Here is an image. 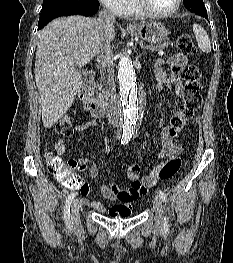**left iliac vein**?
Masks as SVG:
<instances>
[{
    "instance_id": "obj_1",
    "label": "left iliac vein",
    "mask_w": 233,
    "mask_h": 263,
    "mask_svg": "<svg viewBox=\"0 0 233 263\" xmlns=\"http://www.w3.org/2000/svg\"><path fill=\"white\" fill-rule=\"evenodd\" d=\"M153 207L156 212V228L161 229L163 226L164 219V208L160 196L156 195L153 198Z\"/></svg>"
}]
</instances>
